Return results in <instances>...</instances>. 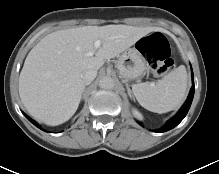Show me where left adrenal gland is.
<instances>
[{"instance_id": "obj_1", "label": "left adrenal gland", "mask_w": 219, "mask_h": 174, "mask_svg": "<svg viewBox=\"0 0 219 174\" xmlns=\"http://www.w3.org/2000/svg\"><path fill=\"white\" fill-rule=\"evenodd\" d=\"M127 90H128V94H129V96L131 97V98H133L134 99V97H132V95H131V89L127 86Z\"/></svg>"}]
</instances>
